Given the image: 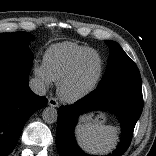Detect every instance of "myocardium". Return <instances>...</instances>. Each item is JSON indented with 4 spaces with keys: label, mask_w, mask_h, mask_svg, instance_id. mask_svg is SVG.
<instances>
[{
    "label": "myocardium",
    "mask_w": 156,
    "mask_h": 156,
    "mask_svg": "<svg viewBox=\"0 0 156 156\" xmlns=\"http://www.w3.org/2000/svg\"><path fill=\"white\" fill-rule=\"evenodd\" d=\"M90 55L97 56V58L99 60V71H98L97 77L85 89L78 91V92H71L70 87H71L73 81L77 77L82 64L86 61V59ZM103 73H104V63H103V60L98 52L95 51V52H89V53L83 54L74 63V65L71 68V70L69 71V73L59 82L58 88H57L59 98L63 102L68 103V104H73V103H76V102L86 98L87 96H89L91 93H93L97 89V87L99 86V84L103 78Z\"/></svg>",
    "instance_id": "f54148a6"
}]
</instances>
